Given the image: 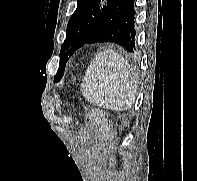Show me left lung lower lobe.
Wrapping results in <instances>:
<instances>
[{
  "label": "left lung lower lobe",
  "mask_w": 197,
  "mask_h": 181,
  "mask_svg": "<svg viewBox=\"0 0 197 181\" xmlns=\"http://www.w3.org/2000/svg\"><path fill=\"white\" fill-rule=\"evenodd\" d=\"M135 0H113L87 43L109 42L135 51Z\"/></svg>",
  "instance_id": "obj_1"
}]
</instances>
